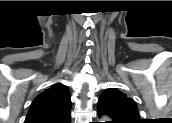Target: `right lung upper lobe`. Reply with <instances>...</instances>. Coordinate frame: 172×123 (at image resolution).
Here are the masks:
<instances>
[{
  "label": "right lung upper lobe",
  "mask_w": 172,
  "mask_h": 123,
  "mask_svg": "<svg viewBox=\"0 0 172 123\" xmlns=\"http://www.w3.org/2000/svg\"><path fill=\"white\" fill-rule=\"evenodd\" d=\"M71 99L67 86L57 83L32 102L25 123H70Z\"/></svg>",
  "instance_id": "obj_1"
}]
</instances>
